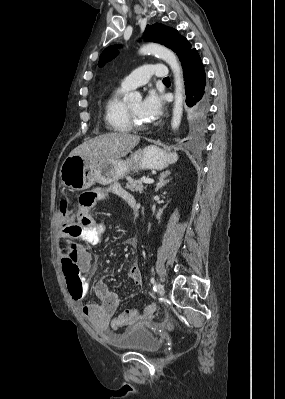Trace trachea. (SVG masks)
I'll use <instances>...</instances> for the list:
<instances>
[{
    "instance_id": "trachea-1",
    "label": "trachea",
    "mask_w": 285,
    "mask_h": 399,
    "mask_svg": "<svg viewBox=\"0 0 285 399\" xmlns=\"http://www.w3.org/2000/svg\"><path fill=\"white\" fill-rule=\"evenodd\" d=\"M163 81H170V79L167 77V78H164Z\"/></svg>"
}]
</instances>
